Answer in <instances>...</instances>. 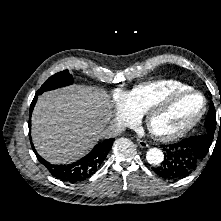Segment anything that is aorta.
Instances as JSON below:
<instances>
[{"mask_svg": "<svg viewBox=\"0 0 221 221\" xmlns=\"http://www.w3.org/2000/svg\"><path fill=\"white\" fill-rule=\"evenodd\" d=\"M164 159L162 150L158 148H151L146 153V160L151 165H159Z\"/></svg>", "mask_w": 221, "mask_h": 221, "instance_id": "1", "label": "aorta"}]
</instances>
